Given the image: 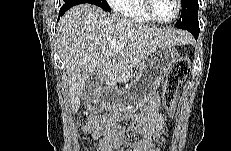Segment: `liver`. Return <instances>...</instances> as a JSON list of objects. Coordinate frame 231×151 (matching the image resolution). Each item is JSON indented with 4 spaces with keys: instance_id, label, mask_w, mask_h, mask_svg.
Returning <instances> with one entry per match:
<instances>
[{
    "instance_id": "6515ba94",
    "label": "liver",
    "mask_w": 231,
    "mask_h": 151,
    "mask_svg": "<svg viewBox=\"0 0 231 151\" xmlns=\"http://www.w3.org/2000/svg\"><path fill=\"white\" fill-rule=\"evenodd\" d=\"M189 41L184 31L150 27L88 3L73 6L59 20L56 34L72 109L78 110L82 90L94 72L101 82L114 81L156 48Z\"/></svg>"
}]
</instances>
